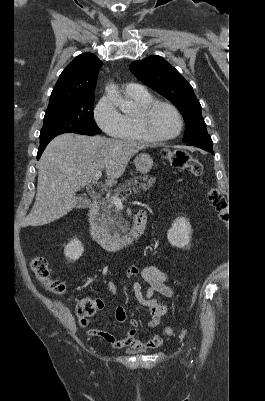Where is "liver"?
<instances>
[{
    "mask_svg": "<svg viewBox=\"0 0 265 401\" xmlns=\"http://www.w3.org/2000/svg\"><path fill=\"white\" fill-rule=\"evenodd\" d=\"M146 146L149 144L136 140L72 132L53 138L39 160L35 203L24 219L25 227L48 225L70 213L77 205V190L90 184L103 168L105 184L114 186L131 156Z\"/></svg>",
    "mask_w": 265,
    "mask_h": 401,
    "instance_id": "liver-1",
    "label": "liver"
}]
</instances>
